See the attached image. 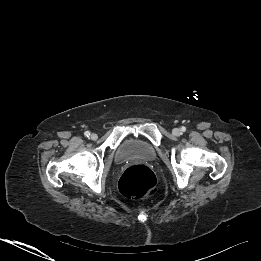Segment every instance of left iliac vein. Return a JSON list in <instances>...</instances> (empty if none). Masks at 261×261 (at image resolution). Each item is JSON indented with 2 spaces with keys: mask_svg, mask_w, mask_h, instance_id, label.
Returning <instances> with one entry per match:
<instances>
[{
  "mask_svg": "<svg viewBox=\"0 0 261 261\" xmlns=\"http://www.w3.org/2000/svg\"><path fill=\"white\" fill-rule=\"evenodd\" d=\"M173 135L179 136L181 134V130L179 128H174L172 131Z\"/></svg>",
  "mask_w": 261,
  "mask_h": 261,
  "instance_id": "1",
  "label": "left iliac vein"
}]
</instances>
